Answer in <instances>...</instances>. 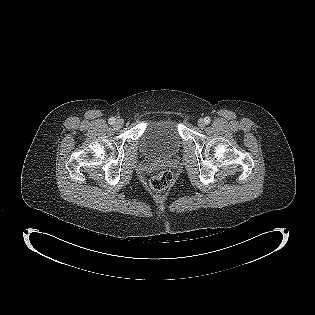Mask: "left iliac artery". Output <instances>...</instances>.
Instances as JSON below:
<instances>
[{"mask_svg":"<svg viewBox=\"0 0 315 315\" xmlns=\"http://www.w3.org/2000/svg\"><path fill=\"white\" fill-rule=\"evenodd\" d=\"M204 122H205L206 124H209V123L211 122L210 117H205V118H204Z\"/></svg>","mask_w":315,"mask_h":315,"instance_id":"left-iliac-artery-1","label":"left iliac artery"}]
</instances>
